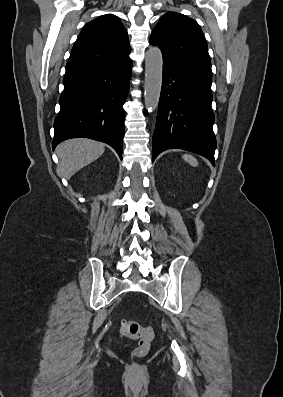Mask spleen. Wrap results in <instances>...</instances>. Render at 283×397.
I'll return each instance as SVG.
<instances>
[{
    "mask_svg": "<svg viewBox=\"0 0 283 397\" xmlns=\"http://www.w3.org/2000/svg\"><path fill=\"white\" fill-rule=\"evenodd\" d=\"M182 157H183V159H184L186 162H188L190 165H192V166H194V167L198 166V161H197V159H196L195 157H193L192 155L184 154Z\"/></svg>",
    "mask_w": 283,
    "mask_h": 397,
    "instance_id": "obj_1",
    "label": "spleen"
}]
</instances>
